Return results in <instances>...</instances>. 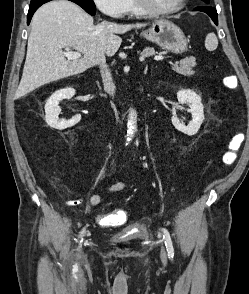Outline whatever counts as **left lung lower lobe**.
<instances>
[{
    "label": "left lung lower lobe",
    "mask_w": 249,
    "mask_h": 294,
    "mask_svg": "<svg viewBox=\"0 0 249 294\" xmlns=\"http://www.w3.org/2000/svg\"><path fill=\"white\" fill-rule=\"evenodd\" d=\"M194 10L207 13L212 18L214 23L218 25L217 11L213 7H197Z\"/></svg>",
    "instance_id": "1"
}]
</instances>
